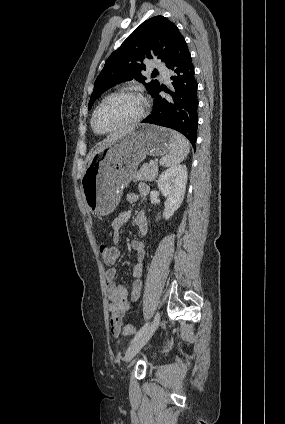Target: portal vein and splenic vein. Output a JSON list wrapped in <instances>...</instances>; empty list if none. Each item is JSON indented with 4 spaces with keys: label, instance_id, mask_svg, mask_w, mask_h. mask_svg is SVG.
Wrapping results in <instances>:
<instances>
[{
    "label": "portal vein and splenic vein",
    "instance_id": "18ae733b",
    "mask_svg": "<svg viewBox=\"0 0 285 424\" xmlns=\"http://www.w3.org/2000/svg\"><path fill=\"white\" fill-rule=\"evenodd\" d=\"M150 163H151V164H153V163H155V162H154V161H151Z\"/></svg>",
    "mask_w": 285,
    "mask_h": 424
}]
</instances>
